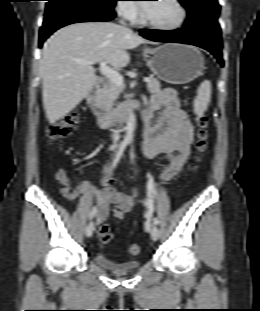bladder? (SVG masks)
<instances>
[{
	"label": "bladder",
	"instance_id": "bladder-1",
	"mask_svg": "<svg viewBox=\"0 0 260 311\" xmlns=\"http://www.w3.org/2000/svg\"><path fill=\"white\" fill-rule=\"evenodd\" d=\"M93 260L99 266L113 272L132 271L138 269L141 265L139 260L114 262L102 250H97L94 252Z\"/></svg>",
	"mask_w": 260,
	"mask_h": 311
}]
</instances>
